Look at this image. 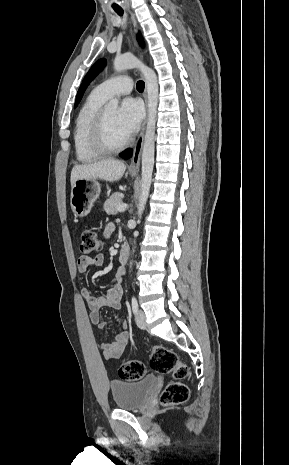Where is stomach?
Here are the masks:
<instances>
[{
    "instance_id": "0dacf381",
    "label": "stomach",
    "mask_w": 289,
    "mask_h": 465,
    "mask_svg": "<svg viewBox=\"0 0 289 465\" xmlns=\"http://www.w3.org/2000/svg\"><path fill=\"white\" fill-rule=\"evenodd\" d=\"M136 176V173H131ZM101 191L100 183L95 178L78 179L71 189L70 205L75 216H87Z\"/></svg>"
}]
</instances>
